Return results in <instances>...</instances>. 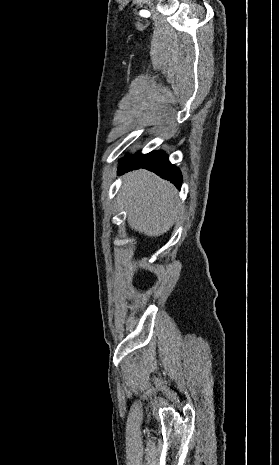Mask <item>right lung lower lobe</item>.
Listing matches in <instances>:
<instances>
[{
	"instance_id": "98d812e1",
	"label": "right lung lower lobe",
	"mask_w": 279,
	"mask_h": 465,
	"mask_svg": "<svg viewBox=\"0 0 279 465\" xmlns=\"http://www.w3.org/2000/svg\"><path fill=\"white\" fill-rule=\"evenodd\" d=\"M144 168L150 171H153L160 177L171 181L178 189L181 188L182 184V175L180 170L175 166L172 165L169 160L168 156L163 154L160 157L156 158L155 160L147 163V164H135V165H128L125 167H119L118 174L127 172L133 169Z\"/></svg>"
}]
</instances>
